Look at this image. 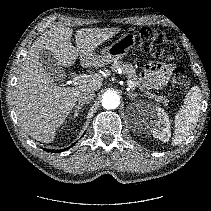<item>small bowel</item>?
Masks as SVG:
<instances>
[{
    "mask_svg": "<svg viewBox=\"0 0 211 211\" xmlns=\"http://www.w3.org/2000/svg\"><path fill=\"white\" fill-rule=\"evenodd\" d=\"M171 67L159 62L149 61L145 65V69L141 74L144 83L153 89H163L168 81Z\"/></svg>",
    "mask_w": 211,
    "mask_h": 211,
    "instance_id": "c3829d8e",
    "label": "small bowel"
}]
</instances>
